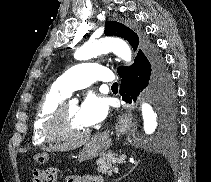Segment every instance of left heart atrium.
<instances>
[{
	"label": "left heart atrium",
	"instance_id": "39dd6f15",
	"mask_svg": "<svg viewBox=\"0 0 211 182\" xmlns=\"http://www.w3.org/2000/svg\"><path fill=\"white\" fill-rule=\"evenodd\" d=\"M107 112V99L101 95L90 93L78 108V117L85 126L91 127L101 122Z\"/></svg>",
	"mask_w": 211,
	"mask_h": 182
}]
</instances>
